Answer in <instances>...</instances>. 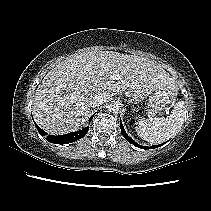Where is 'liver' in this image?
<instances>
[{"mask_svg": "<svg viewBox=\"0 0 211 211\" xmlns=\"http://www.w3.org/2000/svg\"><path fill=\"white\" fill-rule=\"evenodd\" d=\"M119 75L118 80L111 79ZM174 83L152 60L114 51H89L65 59L50 70L37 87L33 114L38 125L50 134L80 129L88 120L89 102L117 93L147 91Z\"/></svg>", "mask_w": 211, "mask_h": 211, "instance_id": "obj_1", "label": "liver"}]
</instances>
